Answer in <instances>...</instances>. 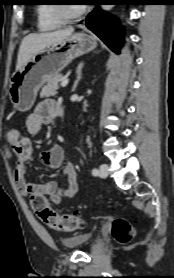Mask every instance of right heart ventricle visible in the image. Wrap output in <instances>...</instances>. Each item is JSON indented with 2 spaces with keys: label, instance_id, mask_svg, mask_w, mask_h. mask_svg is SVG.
Here are the masks:
<instances>
[{
  "label": "right heart ventricle",
  "instance_id": "e07e8e85",
  "mask_svg": "<svg viewBox=\"0 0 174 278\" xmlns=\"http://www.w3.org/2000/svg\"><path fill=\"white\" fill-rule=\"evenodd\" d=\"M54 8L55 5L53 4H40L37 6V27L40 31L55 30L64 24L56 17Z\"/></svg>",
  "mask_w": 174,
  "mask_h": 278
}]
</instances>
